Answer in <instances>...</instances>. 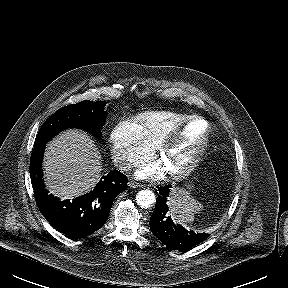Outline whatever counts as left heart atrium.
<instances>
[{"label":"left heart atrium","mask_w":288,"mask_h":288,"mask_svg":"<svg viewBox=\"0 0 288 288\" xmlns=\"http://www.w3.org/2000/svg\"><path fill=\"white\" fill-rule=\"evenodd\" d=\"M162 173V169L157 162L141 167L137 172V176L140 178H152L157 177Z\"/></svg>","instance_id":"left-heart-atrium-1"}]
</instances>
